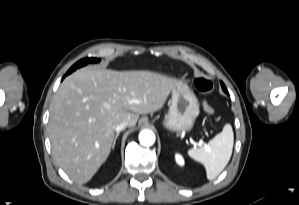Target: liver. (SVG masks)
<instances>
[{"instance_id": "obj_1", "label": "liver", "mask_w": 299, "mask_h": 205, "mask_svg": "<svg viewBox=\"0 0 299 205\" xmlns=\"http://www.w3.org/2000/svg\"><path fill=\"white\" fill-rule=\"evenodd\" d=\"M175 78L151 71L84 67L67 76L50 104L48 133L57 164L76 183H87L108 158L114 131L140 114L163 107Z\"/></svg>"}]
</instances>
